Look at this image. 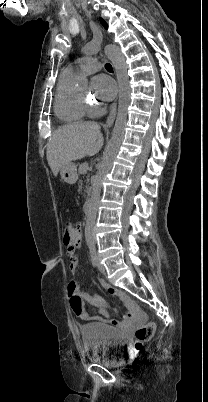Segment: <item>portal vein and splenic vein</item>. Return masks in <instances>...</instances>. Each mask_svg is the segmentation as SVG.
<instances>
[{
	"label": "portal vein and splenic vein",
	"instance_id": "1",
	"mask_svg": "<svg viewBox=\"0 0 208 402\" xmlns=\"http://www.w3.org/2000/svg\"><path fill=\"white\" fill-rule=\"evenodd\" d=\"M87 168L88 170V163L87 162H83L82 165L80 166L81 170H85Z\"/></svg>",
	"mask_w": 208,
	"mask_h": 402
}]
</instances>
